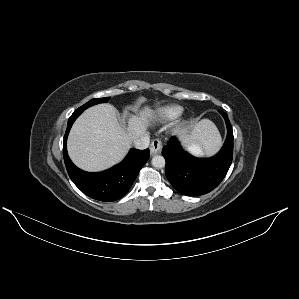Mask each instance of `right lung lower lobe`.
Segmentation results:
<instances>
[{"label":"right lung lower lobe","instance_id":"1","mask_svg":"<svg viewBox=\"0 0 299 299\" xmlns=\"http://www.w3.org/2000/svg\"><path fill=\"white\" fill-rule=\"evenodd\" d=\"M83 111L84 109L78 108L68 120L63 142L67 172L73 183L87 196L104 202L118 200L128 192L140 169L149 159V149H131L120 164L103 172L90 173L79 169L68 156L66 141L72 124Z\"/></svg>","mask_w":299,"mask_h":299}]
</instances>
